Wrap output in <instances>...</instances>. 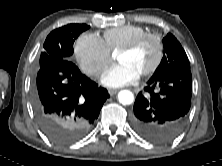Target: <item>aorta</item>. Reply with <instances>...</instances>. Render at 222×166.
I'll list each match as a JSON object with an SVG mask.
<instances>
[{"instance_id":"aorta-1","label":"aorta","mask_w":222,"mask_h":166,"mask_svg":"<svg viewBox=\"0 0 222 166\" xmlns=\"http://www.w3.org/2000/svg\"><path fill=\"white\" fill-rule=\"evenodd\" d=\"M118 100L123 105H130L134 101V95L129 90H121L118 93Z\"/></svg>"}]
</instances>
